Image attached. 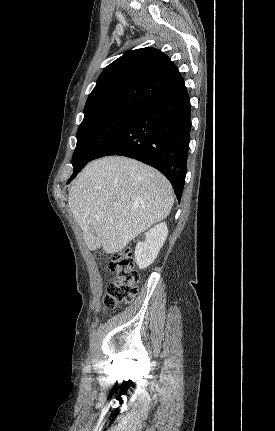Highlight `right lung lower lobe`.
I'll list each match as a JSON object with an SVG mask.
<instances>
[{"label":"right lung lower lobe","mask_w":275,"mask_h":431,"mask_svg":"<svg viewBox=\"0 0 275 431\" xmlns=\"http://www.w3.org/2000/svg\"><path fill=\"white\" fill-rule=\"evenodd\" d=\"M190 116V99L183 81L137 109L91 160L121 155L146 163L168 178L180 201L186 176Z\"/></svg>","instance_id":"98d812e1"}]
</instances>
